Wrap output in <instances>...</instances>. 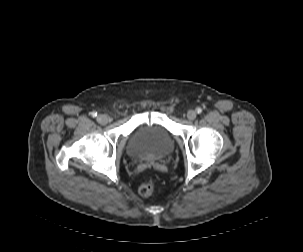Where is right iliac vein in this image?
Returning <instances> with one entry per match:
<instances>
[{
    "instance_id": "63e3f726",
    "label": "right iliac vein",
    "mask_w": 303,
    "mask_h": 252,
    "mask_svg": "<svg viewBox=\"0 0 303 252\" xmlns=\"http://www.w3.org/2000/svg\"><path fill=\"white\" fill-rule=\"evenodd\" d=\"M97 121H98L100 124H106V123H108V117H107V115H105V114H99V115L97 116Z\"/></svg>"
}]
</instances>
